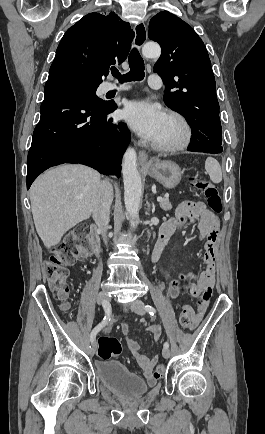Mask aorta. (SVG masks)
Returning a JSON list of instances; mask_svg holds the SVG:
<instances>
[{
  "mask_svg": "<svg viewBox=\"0 0 265 434\" xmlns=\"http://www.w3.org/2000/svg\"><path fill=\"white\" fill-rule=\"evenodd\" d=\"M145 58L159 56L160 48L157 44H145L142 48ZM122 174L124 182V202L127 214L130 216L132 228H136L138 222L139 204L141 198V176L137 170V156L134 148H128L122 162Z\"/></svg>",
  "mask_w": 265,
  "mask_h": 434,
  "instance_id": "obj_1",
  "label": "aorta"
}]
</instances>
